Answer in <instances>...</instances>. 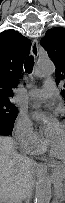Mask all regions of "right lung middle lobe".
Here are the masks:
<instances>
[{
	"instance_id": "right-lung-middle-lobe-1",
	"label": "right lung middle lobe",
	"mask_w": 65,
	"mask_h": 203,
	"mask_svg": "<svg viewBox=\"0 0 65 203\" xmlns=\"http://www.w3.org/2000/svg\"><path fill=\"white\" fill-rule=\"evenodd\" d=\"M17 113L16 107L10 103V100H0V127L12 131Z\"/></svg>"
}]
</instances>
